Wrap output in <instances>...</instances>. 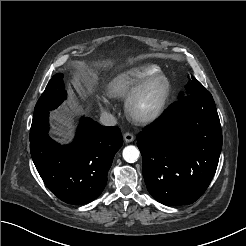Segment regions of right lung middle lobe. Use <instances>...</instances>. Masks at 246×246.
I'll return each mask as SVG.
<instances>
[{
	"mask_svg": "<svg viewBox=\"0 0 246 246\" xmlns=\"http://www.w3.org/2000/svg\"><path fill=\"white\" fill-rule=\"evenodd\" d=\"M63 74L57 73L49 81L45 91L39 98L34 113L45 110H53L58 107L66 98L63 84Z\"/></svg>",
	"mask_w": 246,
	"mask_h": 246,
	"instance_id": "1",
	"label": "right lung middle lobe"
}]
</instances>
